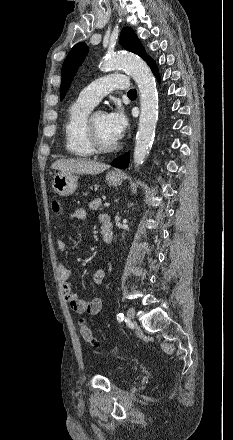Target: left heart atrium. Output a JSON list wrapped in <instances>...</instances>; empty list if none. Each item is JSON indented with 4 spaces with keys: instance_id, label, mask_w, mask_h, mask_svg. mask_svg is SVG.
Listing matches in <instances>:
<instances>
[{
    "instance_id": "39dd6f15",
    "label": "left heart atrium",
    "mask_w": 233,
    "mask_h": 440,
    "mask_svg": "<svg viewBox=\"0 0 233 440\" xmlns=\"http://www.w3.org/2000/svg\"><path fill=\"white\" fill-rule=\"evenodd\" d=\"M106 121L113 137L116 140L120 139L128 125V120L124 112L117 108L106 114Z\"/></svg>"
}]
</instances>
